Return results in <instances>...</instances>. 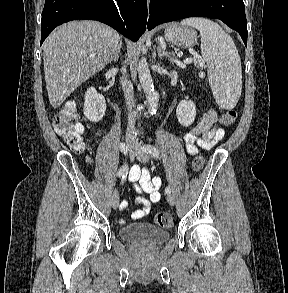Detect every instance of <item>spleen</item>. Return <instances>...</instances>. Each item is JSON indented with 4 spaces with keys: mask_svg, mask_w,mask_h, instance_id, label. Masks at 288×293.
Returning a JSON list of instances; mask_svg holds the SVG:
<instances>
[{
    "mask_svg": "<svg viewBox=\"0 0 288 293\" xmlns=\"http://www.w3.org/2000/svg\"><path fill=\"white\" fill-rule=\"evenodd\" d=\"M181 25L200 31L201 54L208 66V80L214 98L222 108H234L242 91V66L233 39L210 19L187 18Z\"/></svg>",
    "mask_w": 288,
    "mask_h": 293,
    "instance_id": "obj_1",
    "label": "spleen"
}]
</instances>
